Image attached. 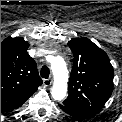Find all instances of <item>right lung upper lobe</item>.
<instances>
[{"label": "right lung upper lobe", "mask_w": 122, "mask_h": 122, "mask_svg": "<svg viewBox=\"0 0 122 122\" xmlns=\"http://www.w3.org/2000/svg\"><path fill=\"white\" fill-rule=\"evenodd\" d=\"M28 47L21 37L1 42V112L22 106L42 84L36 62L27 53Z\"/></svg>", "instance_id": "cb5924a9"}]
</instances>
